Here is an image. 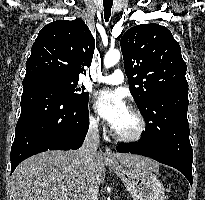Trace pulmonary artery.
Masks as SVG:
<instances>
[{"mask_svg":"<svg viewBox=\"0 0 205 200\" xmlns=\"http://www.w3.org/2000/svg\"><path fill=\"white\" fill-rule=\"evenodd\" d=\"M95 81L110 85H118L124 81V73L120 69H117L111 75L97 76Z\"/></svg>","mask_w":205,"mask_h":200,"instance_id":"obj_1","label":"pulmonary artery"}]
</instances>
